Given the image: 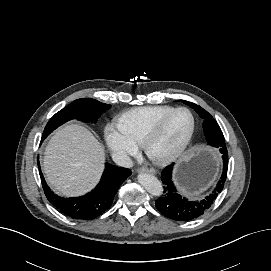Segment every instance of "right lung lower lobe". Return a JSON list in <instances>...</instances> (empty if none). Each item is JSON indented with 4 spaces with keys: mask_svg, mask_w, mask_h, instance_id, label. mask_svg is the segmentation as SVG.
Here are the masks:
<instances>
[{
    "mask_svg": "<svg viewBox=\"0 0 271 271\" xmlns=\"http://www.w3.org/2000/svg\"><path fill=\"white\" fill-rule=\"evenodd\" d=\"M39 166V164H38ZM45 195L59 211L73 219L91 220L110 208L119 186L131 175L127 168L105 165L100 183L90 193L77 198H61L45 183L39 171Z\"/></svg>",
    "mask_w": 271,
    "mask_h": 271,
    "instance_id": "98d812e1",
    "label": "right lung lower lobe"
}]
</instances>
